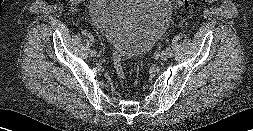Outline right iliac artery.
Returning <instances> with one entry per match:
<instances>
[{"label":"right iliac artery","mask_w":253,"mask_h":131,"mask_svg":"<svg viewBox=\"0 0 253 131\" xmlns=\"http://www.w3.org/2000/svg\"><path fill=\"white\" fill-rule=\"evenodd\" d=\"M97 49H98V46H97V45H92V46H91V50H92V51H95V50H97Z\"/></svg>","instance_id":"82829eb1"}]
</instances>
